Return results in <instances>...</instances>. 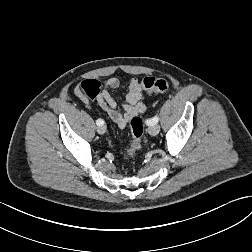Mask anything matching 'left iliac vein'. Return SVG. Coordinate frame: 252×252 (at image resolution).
Instances as JSON below:
<instances>
[{"mask_svg":"<svg viewBox=\"0 0 252 252\" xmlns=\"http://www.w3.org/2000/svg\"><path fill=\"white\" fill-rule=\"evenodd\" d=\"M159 131H160V127H159V125H151L149 128H148V132H149V134L150 135H152V136H155V135H157L158 133H159Z\"/></svg>","mask_w":252,"mask_h":252,"instance_id":"obj_1","label":"left iliac vein"}]
</instances>
